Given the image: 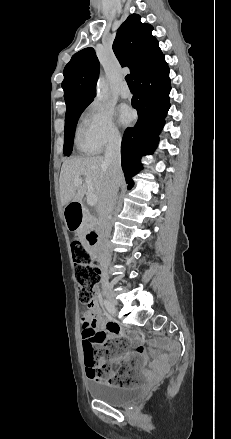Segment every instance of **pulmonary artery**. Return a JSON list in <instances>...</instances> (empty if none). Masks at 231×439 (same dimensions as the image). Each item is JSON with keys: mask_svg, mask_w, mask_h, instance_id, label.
Instances as JSON below:
<instances>
[{"mask_svg": "<svg viewBox=\"0 0 231 439\" xmlns=\"http://www.w3.org/2000/svg\"><path fill=\"white\" fill-rule=\"evenodd\" d=\"M120 95H121V97H123V98H127V97L130 96V90H129L128 86H127L125 83H123V84L121 85V88H120Z\"/></svg>", "mask_w": 231, "mask_h": 439, "instance_id": "obj_1", "label": "pulmonary artery"}]
</instances>
